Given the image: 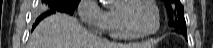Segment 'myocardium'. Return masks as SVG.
I'll list each match as a JSON object with an SVG mask.
<instances>
[{
    "label": "myocardium",
    "instance_id": "obj_1",
    "mask_svg": "<svg viewBox=\"0 0 213 48\" xmlns=\"http://www.w3.org/2000/svg\"><path fill=\"white\" fill-rule=\"evenodd\" d=\"M137 1H144L147 4H149L155 13V27L152 31L150 32H139L138 30H136L132 24L130 23L127 15H126V10L135 2ZM117 12H118V16L120 19V22L122 24V26L124 27V29L132 36L137 37V38H145V37H149L153 34H155L161 26V19H160V13H159V9L157 7V5L155 4L154 1L152 0H124L121 1L118 5H117Z\"/></svg>",
    "mask_w": 213,
    "mask_h": 48
}]
</instances>
